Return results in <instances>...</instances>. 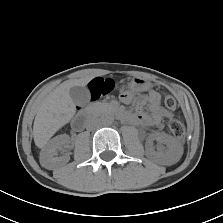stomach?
I'll use <instances>...</instances> for the list:
<instances>
[{
    "instance_id": "stomach-1",
    "label": "stomach",
    "mask_w": 223,
    "mask_h": 223,
    "mask_svg": "<svg viewBox=\"0 0 223 223\" xmlns=\"http://www.w3.org/2000/svg\"><path fill=\"white\" fill-rule=\"evenodd\" d=\"M150 88V84L139 78H133L127 85L126 89L128 91H141Z\"/></svg>"
}]
</instances>
